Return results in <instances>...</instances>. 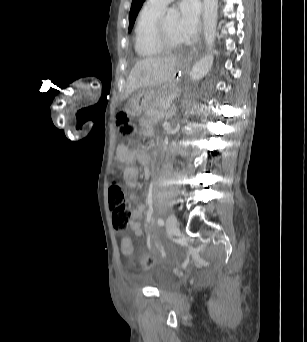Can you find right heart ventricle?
Listing matches in <instances>:
<instances>
[{
  "label": "right heart ventricle",
  "mask_w": 307,
  "mask_h": 342,
  "mask_svg": "<svg viewBox=\"0 0 307 342\" xmlns=\"http://www.w3.org/2000/svg\"><path fill=\"white\" fill-rule=\"evenodd\" d=\"M160 13L144 7L139 10L133 31L134 51L140 59H152L161 53L153 43V26Z\"/></svg>",
  "instance_id": "obj_1"
}]
</instances>
